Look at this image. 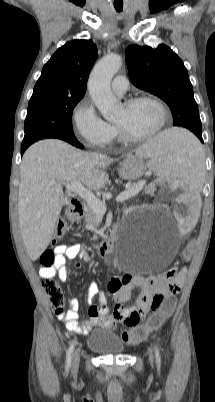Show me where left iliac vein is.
<instances>
[{
	"label": "left iliac vein",
	"mask_w": 215,
	"mask_h": 402,
	"mask_svg": "<svg viewBox=\"0 0 215 402\" xmlns=\"http://www.w3.org/2000/svg\"><path fill=\"white\" fill-rule=\"evenodd\" d=\"M149 361H150L151 364H153V357H152V355H150Z\"/></svg>",
	"instance_id": "4c4485c4"
}]
</instances>
